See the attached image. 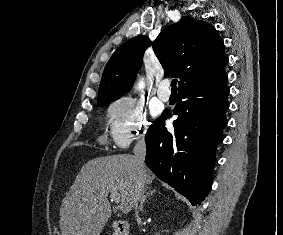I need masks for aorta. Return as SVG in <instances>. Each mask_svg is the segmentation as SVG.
Returning <instances> with one entry per match:
<instances>
[{
    "label": "aorta",
    "mask_w": 283,
    "mask_h": 235,
    "mask_svg": "<svg viewBox=\"0 0 283 235\" xmlns=\"http://www.w3.org/2000/svg\"><path fill=\"white\" fill-rule=\"evenodd\" d=\"M144 86V82H143V80H141L139 83H138V87L139 88H142Z\"/></svg>",
    "instance_id": "aorta-1"
}]
</instances>
